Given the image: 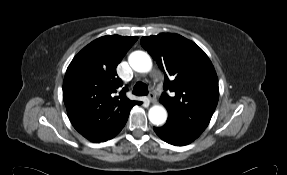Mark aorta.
<instances>
[{
  "instance_id": "aorta-1",
  "label": "aorta",
  "mask_w": 287,
  "mask_h": 175,
  "mask_svg": "<svg viewBox=\"0 0 287 175\" xmlns=\"http://www.w3.org/2000/svg\"><path fill=\"white\" fill-rule=\"evenodd\" d=\"M129 64L132 69L139 73H147L152 68L150 56L143 51H134L129 55ZM148 118L154 125H162L167 120V111L161 105H154L149 109Z\"/></svg>"
}]
</instances>
